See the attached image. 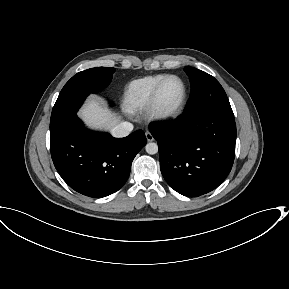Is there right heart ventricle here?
Masks as SVG:
<instances>
[{"instance_id":"e07e8e85","label":"right heart ventricle","mask_w":289,"mask_h":289,"mask_svg":"<svg viewBox=\"0 0 289 289\" xmlns=\"http://www.w3.org/2000/svg\"><path fill=\"white\" fill-rule=\"evenodd\" d=\"M165 76L167 75H149L130 82L123 95L125 109L131 113L147 109L155 87Z\"/></svg>"}]
</instances>
